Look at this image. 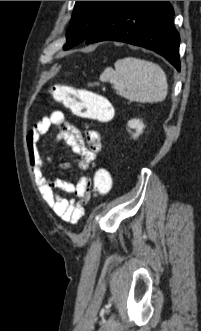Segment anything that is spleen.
I'll return each mask as SVG.
<instances>
[{"instance_id": "1", "label": "spleen", "mask_w": 201, "mask_h": 331, "mask_svg": "<svg viewBox=\"0 0 201 331\" xmlns=\"http://www.w3.org/2000/svg\"><path fill=\"white\" fill-rule=\"evenodd\" d=\"M115 70L106 68L100 80L109 81L117 94L135 102H161L168 85L161 67L153 62L127 57L117 60Z\"/></svg>"}]
</instances>
